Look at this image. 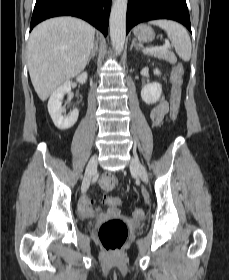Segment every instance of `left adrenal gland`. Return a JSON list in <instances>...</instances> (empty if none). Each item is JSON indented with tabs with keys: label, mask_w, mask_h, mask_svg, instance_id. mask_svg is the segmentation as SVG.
Here are the masks:
<instances>
[{
	"label": "left adrenal gland",
	"mask_w": 229,
	"mask_h": 280,
	"mask_svg": "<svg viewBox=\"0 0 229 280\" xmlns=\"http://www.w3.org/2000/svg\"><path fill=\"white\" fill-rule=\"evenodd\" d=\"M133 47H135L136 49H138V47H137V45H136V43H135V39L132 40V44H131V46H130V50H131Z\"/></svg>",
	"instance_id": "obj_1"
}]
</instances>
